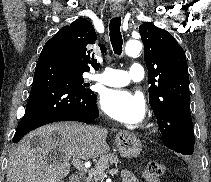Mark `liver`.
I'll use <instances>...</instances> for the list:
<instances>
[{"label": "liver", "instance_id": "1", "mask_svg": "<svg viewBox=\"0 0 211 182\" xmlns=\"http://www.w3.org/2000/svg\"><path fill=\"white\" fill-rule=\"evenodd\" d=\"M57 132L58 137H53ZM108 131L80 123H59L27 134L11 151L7 182H60L70 173V159L88 160L109 152ZM39 144L33 146L32 138ZM57 150L59 157L50 159Z\"/></svg>", "mask_w": 211, "mask_h": 182}]
</instances>
